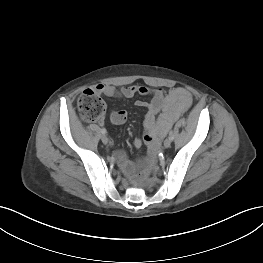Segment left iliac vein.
<instances>
[{"label":"left iliac vein","instance_id":"1","mask_svg":"<svg viewBox=\"0 0 263 263\" xmlns=\"http://www.w3.org/2000/svg\"><path fill=\"white\" fill-rule=\"evenodd\" d=\"M163 145L165 148H169L171 146V139L169 138L165 139Z\"/></svg>","mask_w":263,"mask_h":263}]
</instances>
